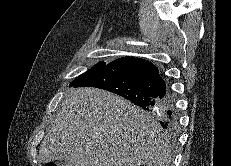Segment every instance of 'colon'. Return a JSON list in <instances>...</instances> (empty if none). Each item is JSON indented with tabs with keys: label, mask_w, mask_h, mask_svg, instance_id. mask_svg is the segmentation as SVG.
<instances>
[{
	"label": "colon",
	"mask_w": 231,
	"mask_h": 166,
	"mask_svg": "<svg viewBox=\"0 0 231 166\" xmlns=\"http://www.w3.org/2000/svg\"><path fill=\"white\" fill-rule=\"evenodd\" d=\"M45 166H59V165L55 162H50V163H47Z\"/></svg>",
	"instance_id": "colon-1"
}]
</instances>
